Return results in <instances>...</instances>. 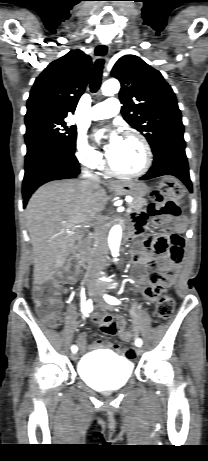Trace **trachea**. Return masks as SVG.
<instances>
[{"label": "trachea", "mask_w": 208, "mask_h": 461, "mask_svg": "<svg viewBox=\"0 0 208 461\" xmlns=\"http://www.w3.org/2000/svg\"><path fill=\"white\" fill-rule=\"evenodd\" d=\"M104 60L98 59L95 64L91 75L90 81V90L92 93L98 91L101 85V77H102V70H103Z\"/></svg>", "instance_id": "trachea-1"}]
</instances>
